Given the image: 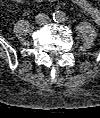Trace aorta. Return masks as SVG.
Listing matches in <instances>:
<instances>
[{"mask_svg": "<svg viewBox=\"0 0 100 118\" xmlns=\"http://www.w3.org/2000/svg\"><path fill=\"white\" fill-rule=\"evenodd\" d=\"M53 19L56 21H63L65 19V14L61 11H56L53 13Z\"/></svg>", "mask_w": 100, "mask_h": 118, "instance_id": "aorta-1", "label": "aorta"}]
</instances>
